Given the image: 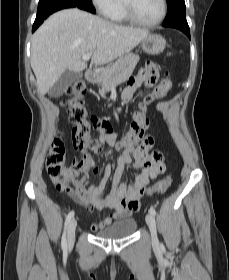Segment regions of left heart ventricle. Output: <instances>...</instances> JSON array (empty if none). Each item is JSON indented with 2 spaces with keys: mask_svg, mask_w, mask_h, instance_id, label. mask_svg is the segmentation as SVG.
<instances>
[{
  "mask_svg": "<svg viewBox=\"0 0 229 280\" xmlns=\"http://www.w3.org/2000/svg\"><path fill=\"white\" fill-rule=\"evenodd\" d=\"M133 12L143 21L156 19L162 10L161 0H131Z\"/></svg>",
  "mask_w": 229,
  "mask_h": 280,
  "instance_id": "left-heart-ventricle-1",
  "label": "left heart ventricle"
}]
</instances>
